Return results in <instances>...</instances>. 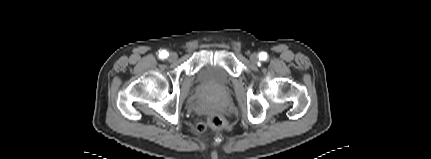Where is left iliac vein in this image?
Instances as JSON below:
<instances>
[{
  "label": "left iliac vein",
  "instance_id": "1",
  "mask_svg": "<svg viewBox=\"0 0 431 159\" xmlns=\"http://www.w3.org/2000/svg\"><path fill=\"white\" fill-rule=\"evenodd\" d=\"M250 61H251L252 63H257V62L259 61L258 55H257V54H255V53H252V54L250 55Z\"/></svg>",
  "mask_w": 431,
  "mask_h": 159
}]
</instances>
